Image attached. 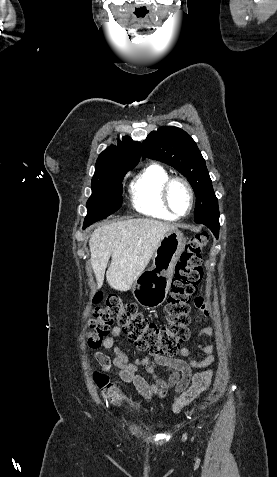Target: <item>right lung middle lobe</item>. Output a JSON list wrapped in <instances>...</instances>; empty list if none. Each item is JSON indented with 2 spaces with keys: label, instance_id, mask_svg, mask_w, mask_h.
I'll return each mask as SVG.
<instances>
[{
  "label": "right lung middle lobe",
  "instance_id": "obj_1",
  "mask_svg": "<svg viewBox=\"0 0 277 477\" xmlns=\"http://www.w3.org/2000/svg\"><path fill=\"white\" fill-rule=\"evenodd\" d=\"M130 168H111L95 173L87 201V215L83 229L117 211L122 205V180Z\"/></svg>",
  "mask_w": 277,
  "mask_h": 477
}]
</instances>
